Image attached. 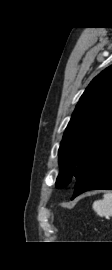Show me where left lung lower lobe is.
Wrapping results in <instances>:
<instances>
[{
	"label": "left lung lower lobe",
	"instance_id": "left-lung-lower-lobe-1",
	"mask_svg": "<svg viewBox=\"0 0 112 270\" xmlns=\"http://www.w3.org/2000/svg\"><path fill=\"white\" fill-rule=\"evenodd\" d=\"M94 189L112 190V148L76 182L73 198Z\"/></svg>",
	"mask_w": 112,
	"mask_h": 270
}]
</instances>
